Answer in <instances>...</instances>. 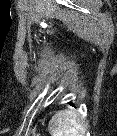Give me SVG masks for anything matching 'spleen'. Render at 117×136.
<instances>
[{
  "label": "spleen",
  "instance_id": "1",
  "mask_svg": "<svg viewBox=\"0 0 117 136\" xmlns=\"http://www.w3.org/2000/svg\"><path fill=\"white\" fill-rule=\"evenodd\" d=\"M48 129L52 136H83L86 126L82 115L66 110L58 112L52 117Z\"/></svg>",
  "mask_w": 117,
  "mask_h": 136
}]
</instances>
